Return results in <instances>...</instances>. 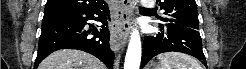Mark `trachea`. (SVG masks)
<instances>
[{"label": "trachea", "mask_w": 246, "mask_h": 69, "mask_svg": "<svg viewBox=\"0 0 246 69\" xmlns=\"http://www.w3.org/2000/svg\"><path fill=\"white\" fill-rule=\"evenodd\" d=\"M140 9L146 10V11H152V9H146V8H143V7H140Z\"/></svg>", "instance_id": "3493384b"}]
</instances>
